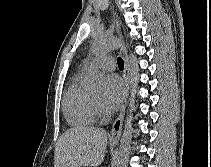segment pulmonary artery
<instances>
[{"mask_svg":"<svg viewBox=\"0 0 211 167\" xmlns=\"http://www.w3.org/2000/svg\"><path fill=\"white\" fill-rule=\"evenodd\" d=\"M84 66L87 69L98 67L104 70L112 71L116 68V62L112 57L106 56L98 60H87L85 61Z\"/></svg>","mask_w":211,"mask_h":167,"instance_id":"1","label":"pulmonary artery"}]
</instances>
